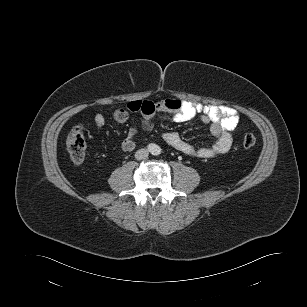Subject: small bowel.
Here are the masks:
<instances>
[{"instance_id":"c3829d8e","label":"small bowel","mask_w":307,"mask_h":307,"mask_svg":"<svg viewBox=\"0 0 307 307\" xmlns=\"http://www.w3.org/2000/svg\"><path fill=\"white\" fill-rule=\"evenodd\" d=\"M130 112H138L142 115L140 127H131L122 142V149L130 152L136 147V137L139 130L149 131L153 125L155 117L172 120L174 122H186L195 117L209 126L214 137V142L207 147H196L184 141L177 132H167L163 135V140L188 156L195 158H212L226 153L232 143V131L237 127L239 117L231 107L201 105L189 101L178 99H164L159 102L148 100H136L129 102L125 107L116 108L113 111V119L117 123H125ZM94 124L101 129L105 124V117L101 113L94 116Z\"/></svg>"}]
</instances>
